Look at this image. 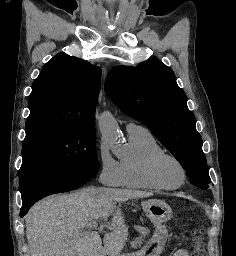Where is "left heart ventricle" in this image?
I'll list each match as a JSON object with an SVG mask.
<instances>
[{
	"instance_id": "obj_1",
	"label": "left heart ventricle",
	"mask_w": 236,
	"mask_h": 256,
	"mask_svg": "<svg viewBox=\"0 0 236 256\" xmlns=\"http://www.w3.org/2000/svg\"><path fill=\"white\" fill-rule=\"evenodd\" d=\"M162 175L173 184L182 180V171L179 166L171 160H167L162 166Z\"/></svg>"
}]
</instances>
